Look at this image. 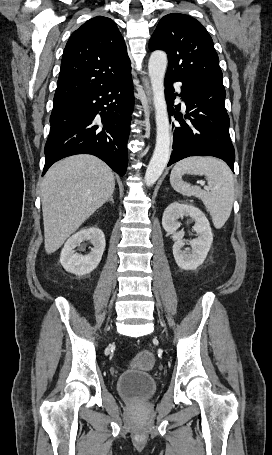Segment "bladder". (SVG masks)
Masks as SVG:
<instances>
[{"mask_svg": "<svg viewBox=\"0 0 272 455\" xmlns=\"http://www.w3.org/2000/svg\"><path fill=\"white\" fill-rule=\"evenodd\" d=\"M118 394L128 401H141L151 398L157 384L152 375L139 370H126L116 380Z\"/></svg>", "mask_w": 272, "mask_h": 455, "instance_id": "31cf9c89", "label": "bladder"}]
</instances>
